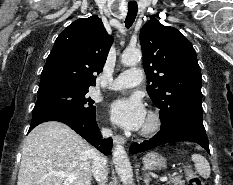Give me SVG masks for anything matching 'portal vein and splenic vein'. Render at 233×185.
<instances>
[{
    "instance_id": "portal-vein-and-splenic-vein-1",
    "label": "portal vein and splenic vein",
    "mask_w": 233,
    "mask_h": 185,
    "mask_svg": "<svg viewBox=\"0 0 233 185\" xmlns=\"http://www.w3.org/2000/svg\"><path fill=\"white\" fill-rule=\"evenodd\" d=\"M58 175L66 177L65 179V185H69V183H72L74 180H76L78 177L74 174H63V173H58ZM168 180V177H162L160 178L161 182H165Z\"/></svg>"
}]
</instances>
